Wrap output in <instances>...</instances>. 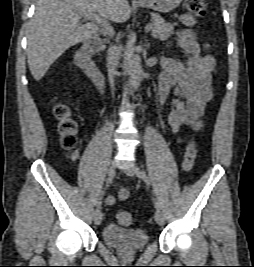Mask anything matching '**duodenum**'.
Segmentation results:
<instances>
[{"instance_id": "duodenum-1", "label": "duodenum", "mask_w": 254, "mask_h": 267, "mask_svg": "<svg viewBox=\"0 0 254 267\" xmlns=\"http://www.w3.org/2000/svg\"><path fill=\"white\" fill-rule=\"evenodd\" d=\"M101 40L97 37L88 38L75 54V62L92 81L96 88L103 92L105 78L101 70L92 60V56L101 49Z\"/></svg>"}]
</instances>
